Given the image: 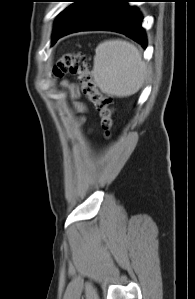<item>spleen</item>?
<instances>
[{"label": "spleen", "instance_id": "3e777b00", "mask_svg": "<svg viewBox=\"0 0 195 299\" xmlns=\"http://www.w3.org/2000/svg\"><path fill=\"white\" fill-rule=\"evenodd\" d=\"M92 75L102 92L127 97L142 87L147 66L132 43L121 39L106 40L96 48Z\"/></svg>", "mask_w": 195, "mask_h": 299}]
</instances>
